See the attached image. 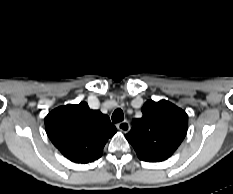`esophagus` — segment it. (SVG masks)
Masks as SVG:
<instances>
[{
	"label": "esophagus",
	"mask_w": 233,
	"mask_h": 194,
	"mask_svg": "<svg viewBox=\"0 0 233 194\" xmlns=\"http://www.w3.org/2000/svg\"><path fill=\"white\" fill-rule=\"evenodd\" d=\"M117 128H118L120 131H122V132H124V133H127V132L130 131L131 126H130V123H129L128 121L125 120V121H122V122L118 123V124H117Z\"/></svg>",
	"instance_id": "obj_1"
}]
</instances>
